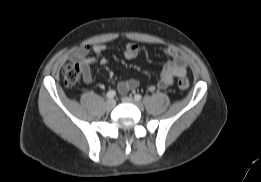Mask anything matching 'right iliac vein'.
<instances>
[{
    "mask_svg": "<svg viewBox=\"0 0 261 182\" xmlns=\"http://www.w3.org/2000/svg\"><path fill=\"white\" fill-rule=\"evenodd\" d=\"M115 105H116L115 101L113 99H109L105 103V108L106 110L111 111L114 109Z\"/></svg>",
    "mask_w": 261,
    "mask_h": 182,
    "instance_id": "right-iliac-vein-1",
    "label": "right iliac vein"
}]
</instances>
